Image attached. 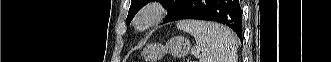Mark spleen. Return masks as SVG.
Masks as SVG:
<instances>
[{
	"label": "spleen",
	"instance_id": "spleen-1",
	"mask_svg": "<svg viewBox=\"0 0 331 62\" xmlns=\"http://www.w3.org/2000/svg\"><path fill=\"white\" fill-rule=\"evenodd\" d=\"M177 27L191 34L201 48L200 62H233L237 39L226 27L201 20H182Z\"/></svg>",
	"mask_w": 331,
	"mask_h": 62
}]
</instances>
